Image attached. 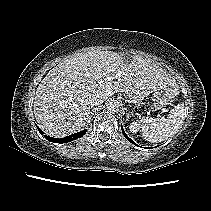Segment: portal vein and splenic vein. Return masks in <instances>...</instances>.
Listing matches in <instances>:
<instances>
[{
    "label": "portal vein and splenic vein",
    "instance_id": "1",
    "mask_svg": "<svg viewBox=\"0 0 211 211\" xmlns=\"http://www.w3.org/2000/svg\"><path fill=\"white\" fill-rule=\"evenodd\" d=\"M120 77V74L117 73L115 76L112 77H108L107 80H111V79H118Z\"/></svg>",
    "mask_w": 211,
    "mask_h": 211
}]
</instances>
